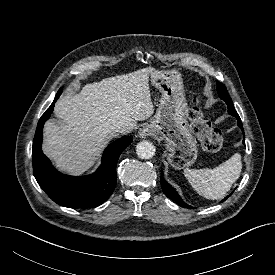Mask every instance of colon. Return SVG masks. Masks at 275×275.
Masks as SVG:
<instances>
[{
	"label": "colon",
	"mask_w": 275,
	"mask_h": 275,
	"mask_svg": "<svg viewBox=\"0 0 275 275\" xmlns=\"http://www.w3.org/2000/svg\"><path fill=\"white\" fill-rule=\"evenodd\" d=\"M191 121V129L199 138L202 146L210 152L219 151L223 147V136L221 132L214 128L211 122L201 111L199 101L195 100L188 111Z\"/></svg>",
	"instance_id": "colon-1"
}]
</instances>
